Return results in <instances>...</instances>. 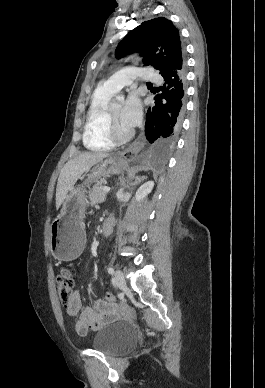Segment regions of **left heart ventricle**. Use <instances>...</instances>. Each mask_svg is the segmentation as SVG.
Wrapping results in <instances>:
<instances>
[{"mask_svg": "<svg viewBox=\"0 0 265 388\" xmlns=\"http://www.w3.org/2000/svg\"><path fill=\"white\" fill-rule=\"evenodd\" d=\"M131 88H130V85L124 89V91H129ZM115 91H121L120 90H115ZM114 91V92H115ZM114 98V97H113ZM110 112H111V115L113 116V118L118 122V124L123 127V128H128L126 125H124L121 121V114H122V107H115V108H111L109 109Z\"/></svg>", "mask_w": 265, "mask_h": 388, "instance_id": "left-heart-ventricle-1", "label": "left heart ventricle"}]
</instances>
